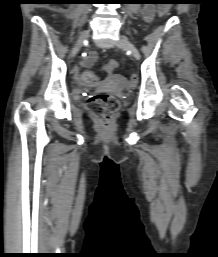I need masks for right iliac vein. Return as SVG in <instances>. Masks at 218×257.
<instances>
[{
	"instance_id": "63e3f726",
	"label": "right iliac vein",
	"mask_w": 218,
	"mask_h": 257,
	"mask_svg": "<svg viewBox=\"0 0 218 257\" xmlns=\"http://www.w3.org/2000/svg\"><path fill=\"white\" fill-rule=\"evenodd\" d=\"M89 31L86 30L84 32H82L76 42V45L72 51V57H75L76 54L79 52L80 48L82 47L84 41L89 37Z\"/></svg>"
}]
</instances>
